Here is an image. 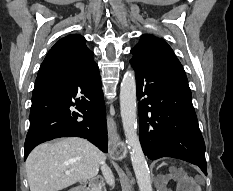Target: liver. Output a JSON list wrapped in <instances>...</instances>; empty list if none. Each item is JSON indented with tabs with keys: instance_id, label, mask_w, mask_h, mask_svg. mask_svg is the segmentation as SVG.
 <instances>
[{
	"instance_id": "liver-1",
	"label": "liver",
	"mask_w": 233,
	"mask_h": 191,
	"mask_svg": "<svg viewBox=\"0 0 233 191\" xmlns=\"http://www.w3.org/2000/svg\"><path fill=\"white\" fill-rule=\"evenodd\" d=\"M105 159L103 152L83 138L67 137L41 144L26 160L30 191H59L94 178Z\"/></svg>"
}]
</instances>
